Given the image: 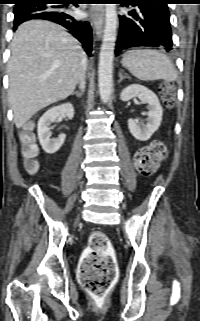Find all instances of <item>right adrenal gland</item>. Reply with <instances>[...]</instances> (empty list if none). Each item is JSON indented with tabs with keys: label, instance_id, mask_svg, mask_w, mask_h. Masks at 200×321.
I'll list each match as a JSON object with an SVG mask.
<instances>
[{
	"label": "right adrenal gland",
	"instance_id": "right-adrenal-gland-1",
	"mask_svg": "<svg viewBox=\"0 0 200 321\" xmlns=\"http://www.w3.org/2000/svg\"><path fill=\"white\" fill-rule=\"evenodd\" d=\"M83 92L84 90L76 91V92H73L72 95H75L76 97H81L83 95Z\"/></svg>",
	"mask_w": 200,
	"mask_h": 321
}]
</instances>
